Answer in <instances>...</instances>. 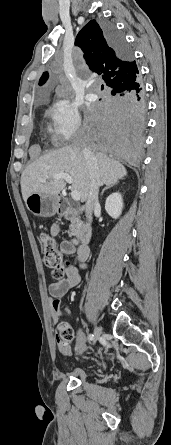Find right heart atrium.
<instances>
[{"mask_svg": "<svg viewBox=\"0 0 171 445\" xmlns=\"http://www.w3.org/2000/svg\"><path fill=\"white\" fill-rule=\"evenodd\" d=\"M51 136L58 144L69 142L81 126L78 110L69 102L60 101L50 110Z\"/></svg>", "mask_w": 171, "mask_h": 445, "instance_id": "right-heart-atrium-1", "label": "right heart atrium"}]
</instances>
